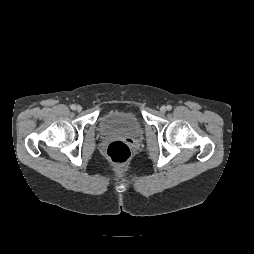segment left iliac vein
<instances>
[{
	"mask_svg": "<svg viewBox=\"0 0 254 254\" xmlns=\"http://www.w3.org/2000/svg\"><path fill=\"white\" fill-rule=\"evenodd\" d=\"M165 111H166V107H165V106H162V107L160 108V112H161V113H165Z\"/></svg>",
	"mask_w": 254,
	"mask_h": 254,
	"instance_id": "left-iliac-vein-1",
	"label": "left iliac vein"
}]
</instances>
